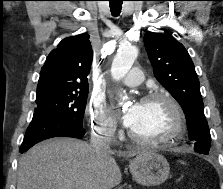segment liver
<instances>
[{
	"label": "liver",
	"mask_w": 223,
	"mask_h": 189,
	"mask_svg": "<svg viewBox=\"0 0 223 189\" xmlns=\"http://www.w3.org/2000/svg\"><path fill=\"white\" fill-rule=\"evenodd\" d=\"M108 150L96 153L86 142L54 138L33 146L18 164L17 189H111L121 171ZM140 151L119 152L134 156Z\"/></svg>",
	"instance_id": "obj_1"
}]
</instances>
